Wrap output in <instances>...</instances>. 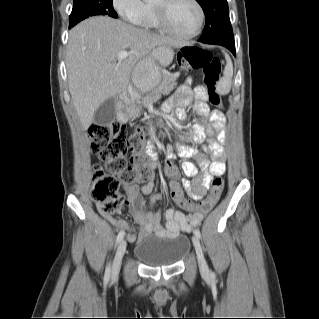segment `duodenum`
Segmentation results:
<instances>
[{"label": "duodenum", "mask_w": 319, "mask_h": 319, "mask_svg": "<svg viewBox=\"0 0 319 319\" xmlns=\"http://www.w3.org/2000/svg\"><path fill=\"white\" fill-rule=\"evenodd\" d=\"M130 103V98L128 96L127 91L125 90L120 101L116 103L115 106V114H116V119L119 122L125 123L128 120L127 116V106Z\"/></svg>", "instance_id": "obj_1"}]
</instances>
